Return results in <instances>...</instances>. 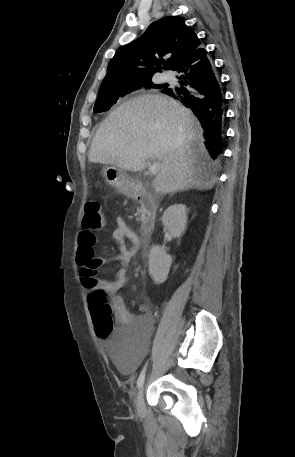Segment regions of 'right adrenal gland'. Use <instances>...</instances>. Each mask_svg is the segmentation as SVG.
I'll use <instances>...</instances> for the list:
<instances>
[{
  "instance_id": "2a0ac1e0",
  "label": "right adrenal gland",
  "mask_w": 295,
  "mask_h": 457,
  "mask_svg": "<svg viewBox=\"0 0 295 457\" xmlns=\"http://www.w3.org/2000/svg\"><path fill=\"white\" fill-rule=\"evenodd\" d=\"M189 189H191V187H186V188H184L182 190H189Z\"/></svg>"
}]
</instances>
